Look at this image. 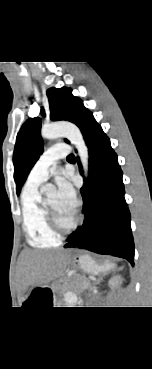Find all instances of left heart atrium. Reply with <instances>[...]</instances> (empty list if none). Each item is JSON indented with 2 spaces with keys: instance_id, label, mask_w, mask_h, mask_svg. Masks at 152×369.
Wrapping results in <instances>:
<instances>
[{
  "instance_id": "obj_1",
  "label": "left heart atrium",
  "mask_w": 152,
  "mask_h": 369,
  "mask_svg": "<svg viewBox=\"0 0 152 369\" xmlns=\"http://www.w3.org/2000/svg\"><path fill=\"white\" fill-rule=\"evenodd\" d=\"M57 187L60 206L64 211L74 214L78 206V200L71 183L65 178H58Z\"/></svg>"
}]
</instances>
